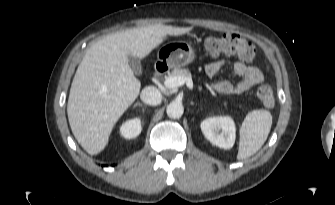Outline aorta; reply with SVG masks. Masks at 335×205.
I'll list each match as a JSON object with an SVG mask.
<instances>
[{
  "label": "aorta",
  "mask_w": 335,
  "mask_h": 205,
  "mask_svg": "<svg viewBox=\"0 0 335 205\" xmlns=\"http://www.w3.org/2000/svg\"><path fill=\"white\" fill-rule=\"evenodd\" d=\"M183 112H184V108H183L182 103L177 102V101L171 102L166 108V113L168 117L172 119L180 118L183 115Z\"/></svg>",
  "instance_id": "obj_1"
}]
</instances>
